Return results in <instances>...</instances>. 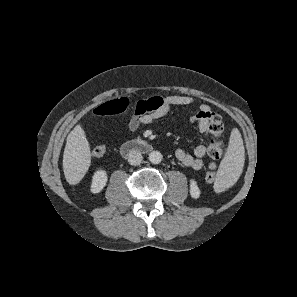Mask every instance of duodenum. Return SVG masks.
Returning a JSON list of instances; mask_svg holds the SVG:
<instances>
[{
  "label": "duodenum",
  "instance_id": "410a0bca",
  "mask_svg": "<svg viewBox=\"0 0 297 297\" xmlns=\"http://www.w3.org/2000/svg\"><path fill=\"white\" fill-rule=\"evenodd\" d=\"M150 149L151 146L145 140L135 139L122 144L120 151L124 157H130L136 153H146Z\"/></svg>",
  "mask_w": 297,
  "mask_h": 297
}]
</instances>
